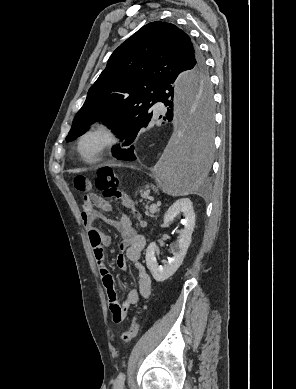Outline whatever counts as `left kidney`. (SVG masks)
<instances>
[{"mask_svg":"<svg viewBox=\"0 0 296 389\" xmlns=\"http://www.w3.org/2000/svg\"><path fill=\"white\" fill-rule=\"evenodd\" d=\"M183 214L184 229L179 239L172 247L173 257L167 264L159 265L156 257L157 245L155 242L149 244L146 250V265L153 278L157 282H163L170 278L180 267L191 243V236L195 226V214L192 202L183 198L176 201L164 215V225H169L177 216Z\"/></svg>","mask_w":296,"mask_h":389,"instance_id":"left-kidney-1","label":"left kidney"}]
</instances>
